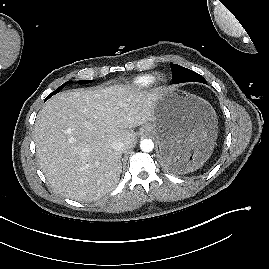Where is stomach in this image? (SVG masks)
<instances>
[{"label":"stomach","mask_w":269,"mask_h":269,"mask_svg":"<svg viewBox=\"0 0 269 269\" xmlns=\"http://www.w3.org/2000/svg\"><path fill=\"white\" fill-rule=\"evenodd\" d=\"M217 115L204 99L167 89L156 93L152 116L141 134H153L163 167L182 171L207 159L215 146Z\"/></svg>","instance_id":"1"}]
</instances>
